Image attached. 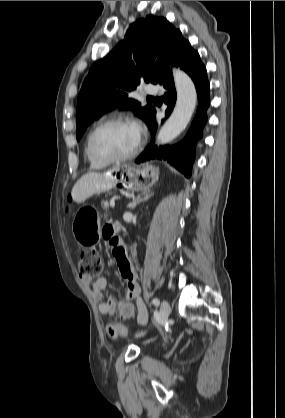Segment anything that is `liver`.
Returning <instances> with one entry per match:
<instances>
[{"label":"liver","instance_id":"obj_1","mask_svg":"<svg viewBox=\"0 0 285 418\" xmlns=\"http://www.w3.org/2000/svg\"><path fill=\"white\" fill-rule=\"evenodd\" d=\"M117 170H110L101 174L96 172L84 174L72 188L73 201L81 203L96 193L111 189L117 183L116 177L112 175Z\"/></svg>","mask_w":285,"mask_h":418}]
</instances>
